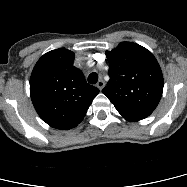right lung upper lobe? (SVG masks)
<instances>
[{"label": "right lung upper lobe", "mask_w": 187, "mask_h": 187, "mask_svg": "<svg viewBox=\"0 0 187 187\" xmlns=\"http://www.w3.org/2000/svg\"><path fill=\"white\" fill-rule=\"evenodd\" d=\"M75 54L65 48L44 54L30 78L33 105L49 126L69 130L86 115L98 88L87 84L81 70L73 66Z\"/></svg>", "instance_id": "obj_1"}]
</instances>
